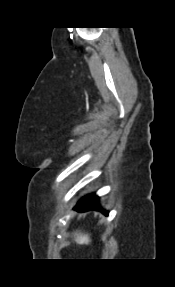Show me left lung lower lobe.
<instances>
[{
    "instance_id": "left-lung-lower-lobe-1",
    "label": "left lung lower lobe",
    "mask_w": 175,
    "mask_h": 287,
    "mask_svg": "<svg viewBox=\"0 0 175 287\" xmlns=\"http://www.w3.org/2000/svg\"><path fill=\"white\" fill-rule=\"evenodd\" d=\"M98 202H99V197H97L94 194L88 195L86 197H83L78 202V204L74 207V209L77 210V211H80V212L92 210L98 205ZM104 213L106 215H108L107 212H104Z\"/></svg>"
}]
</instances>
